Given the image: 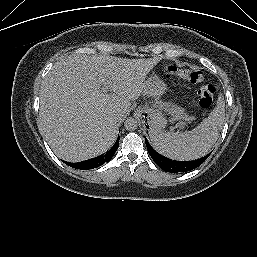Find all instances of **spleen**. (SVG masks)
<instances>
[{
	"instance_id": "obj_1",
	"label": "spleen",
	"mask_w": 257,
	"mask_h": 257,
	"mask_svg": "<svg viewBox=\"0 0 257 257\" xmlns=\"http://www.w3.org/2000/svg\"><path fill=\"white\" fill-rule=\"evenodd\" d=\"M224 107V98L220 95L210 115L191 131L174 133L151 130L149 136L153 147L163 156L177 161L205 156L219 137L224 123Z\"/></svg>"
}]
</instances>
